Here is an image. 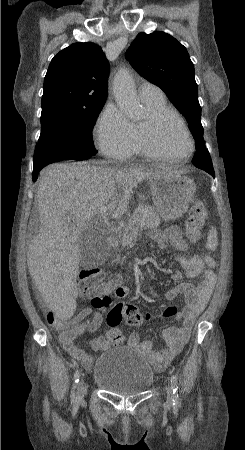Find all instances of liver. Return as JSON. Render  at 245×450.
Returning a JSON list of instances; mask_svg holds the SVG:
<instances>
[{
	"instance_id": "1",
	"label": "liver",
	"mask_w": 245,
	"mask_h": 450,
	"mask_svg": "<svg viewBox=\"0 0 245 450\" xmlns=\"http://www.w3.org/2000/svg\"><path fill=\"white\" fill-rule=\"evenodd\" d=\"M170 171L60 163L41 172L36 195L40 231L28 248L27 265L49 309L59 318H70L75 312L81 253L77 242L85 226L102 207L113 219L120 218L129 208L134 187Z\"/></svg>"
}]
</instances>
